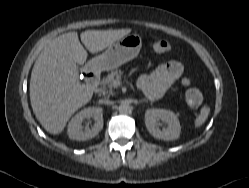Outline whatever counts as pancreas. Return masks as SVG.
<instances>
[{
  "instance_id": "obj_1",
  "label": "pancreas",
  "mask_w": 249,
  "mask_h": 188,
  "mask_svg": "<svg viewBox=\"0 0 249 188\" xmlns=\"http://www.w3.org/2000/svg\"><path fill=\"white\" fill-rule=\"evenodd\" d=\"M122 71L121 70H114L110 74H108L106 77H104L101 81V87L100 92L103 95H113V88L115 86L113 85L114 81H119L121 79Z\"/></svg>"
}]
</instances>
